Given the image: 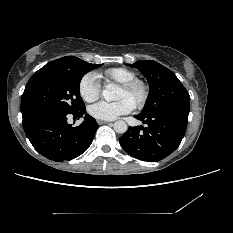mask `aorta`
<instances>
[{"label":"aorta","instance_id":"obj_1","mask_svg":"<svg viewBox=\"0 0 233 233\" xmlns=\"http://www.w3.org/2000/svg\"><path fill=\"white\" fill-rule=\"evenodd\" d=\"M120 88L113 84L106 85L105 89L102 91L104 99L108 102L115 101L119 98ZM128 127L126 122L123 120H118L114 123V130L117 133L123 134L127 131Z\"/></svg>","mask_w":233,"mask_h":233}]
</instances>
